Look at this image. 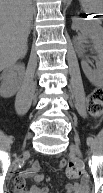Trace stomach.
I'll return each mask as SVG.
<instances>
[{
	"instance_id": "1",
	"label": "stomach",
	"mask_w": 103,
	"mask_h": 193,
	"mask_svg": "<svg viewBox=\"0 0 103 193\" xmlns=\"http://www.w3.org/2000/svg\"><path fill=\"white\" fill-rule=\"evenodd\" d=\"M103 0H80L81 6L86 12H100Z\"/></svg>"
}]
</instances>
